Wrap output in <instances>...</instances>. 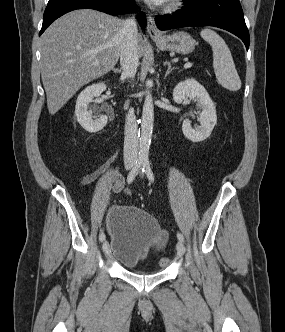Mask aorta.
<instances>
[{
  "mask_svg": "<svg viewBox=\"0 0 285 332\" xmlns=\"http://www.w3.org/2000/svg\"><path fill=\"white\" fill-rule=\"evenodd\" d=\"M152 81L146 82L147 89L151 88ZM154 122V105L150 91H146V97L142 111L141 134L139 138V158L143 160L148 159L149 147L152 138Z\"/></svg>",
  "mask_w": 285,
  "mask_h": 332,
  "instance_id": "aorta-1",
  "label": "aorta"
}]
</instances>
